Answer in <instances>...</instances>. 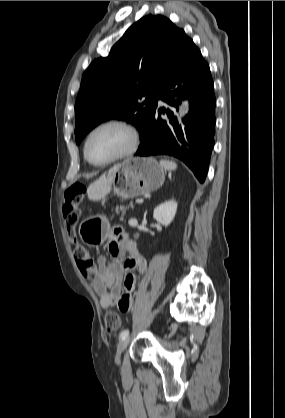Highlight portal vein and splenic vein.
Instances as JSON below:
<instances>
[{"mask_svg": "<svg viewBox=\"0 0 285 418\" xmlns=\"http://www.w3.org/2000/svg\"><path fill=\"white\" fill-rule=\"evenodd\" d=\"M144 201V199H138L136 200L137 203H142Z\"/></svg>", "mask_w": 285, "mask_h": 418, "instance_id": "18ae733b", "label": "portal vein and splenic vein"}]
</instances>
